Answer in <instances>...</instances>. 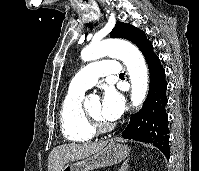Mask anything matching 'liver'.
I'll list each match as a JSON object with an SVG mask.
<instances>
[{
	"instance_id": "obj_1",
	"label": "liver",
	"mask_w": 199,
	"mask_h": 171,
	"mask_svg": "<svg viewBox=\"0 0 199 171\" xmlns=\"http://www.w3.org/2000/svg\"><path fill=\"white\" fill-rule=\"evenodd\" d=\"M107 145L106 141L65 144L54 148L48 157V171H61L70 161L91 156Z\"/></svg>"
}]
</instances>
